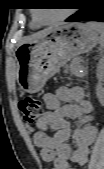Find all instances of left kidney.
I'll list each match as a JSON object with an SVG mask.
<instances>
[{
	"label": "left kidney",
	"instance_id": "left-kidney-1",
	"mask_svg": "<svg viewBox=\"0 0 104 169\" xmlns=\"http://www.w3.org/2000/svg\"><path fill=\"white\" fill-rule=\"evenodd\" d=\"M103 65H104L103 61H101L97 68L98 71L97 76L99 78V84L96 87L97 98L101 103L104 101V88H103V84L101 83L103 79Z\"/></svg>",
	"mask_w": 104,
	"mask_h": 169
}]
</instances>
